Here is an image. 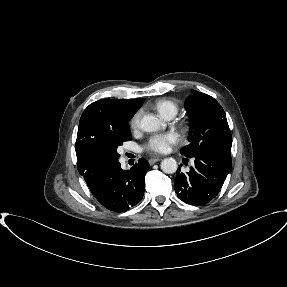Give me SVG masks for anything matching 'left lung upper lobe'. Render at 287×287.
Masks as SVG:
<instances>
[{
	"label": "left lung upper lobe",
	"mask_w": 287,
	"mask_h": 287,
	"mask_svg": "<svg viewBox=\"0 0 287 287\" xmlns=\"http://www.w3.org/2000/svg\"><path fill=\"white\" fill-rule=\"evenodd\" d=\"M192 92L185 103L191 123L189 144L180 153L191 158L212 149L231 151L232 136L223 108L213 97Z\"/></svg>",
	"instance_id": "obj_1"
}]
</instances>
